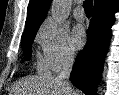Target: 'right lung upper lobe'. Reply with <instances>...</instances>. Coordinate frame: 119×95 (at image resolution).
<instances>
[{"label":"right lung upper lobe","mask_w":119,"mask_h":95,"mask_svg":"<svg viewBox=\"0 0 119 95\" xmlns=\"http://www.w3.org/2000/svg\"><path fill=\"white\" fill-rule=\"evenodd\" d=\"M113 1L115 0H95L94 10L99 9ZM50 4L51 0H30L27 9L28 16L24 33L34 29H39L46 17Z\"/></svg>","instance_id":"obj_1"}]
</instances>
